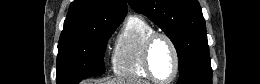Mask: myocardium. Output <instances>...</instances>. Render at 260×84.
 <instances>
[{
	"instance_id": "obj_1",
	"label": "myocardium",
	"mask_w": 260,
	"mask_h": 84,
	"mask_svg": "<svg viewBox=\"0 0 260 84\" xmlns=\"http://www.w3.org/2000/svg\"><path fill=\"white\" fill-rule=\"evenodd\" d=\"M159 38H162L168 42V44L170 45L171 50L173 52V56H174V71H173L172 76L168 80L158 79L156 77V75L154 74V72L152 70V66H151L152 48H153L155 41ZM143 66H144V69H145L146 73L148 74L149 78L156 83L169 84V83H172L176 79V77L179 73V70H180V56H179V52H178V49H177V46H176L174 40L168 34H166L165 32L154 31L146 38L145 43H144V48H143Z\"/></svg>"
}]
</instances>
